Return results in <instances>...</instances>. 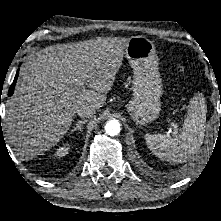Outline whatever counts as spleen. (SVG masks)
I'll list each match as a JSON object with an SVG mask.
<instances>
[{"instance_id":"1","label":"spleen","mask_w":221,"mask_h":221,"mask_svg":"<svg viewBox=\"0 0 221 221\" xmlns=\"http://www.w3.org/2000/svg\"><path fill=\"white\" fill-rule=\"evenodd\" d=\"M205 121L206 106L199 95L190 101L181 131L173 134H146L148 148L155 156L169 163L187 162L203 143Z\"/></svg>"}]
</instances>
